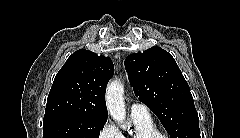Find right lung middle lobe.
Returning <instances> with one entry per match:
<instances>
[{"instance_id": "right-lung-middle-lobe-1", "label": "right lung middle lobe", "mask_w": 240, "mask_h": 138, "mask_svg": "<svg viewBox=\"0 0 240 138\" xmlns=\"http://www.w3.org/2000/svg\"><path fill=\"white\" fill-rule=\"evenodd\" d=\"M105 120L73 114L44 117L43 138H99Z\"/></svg>"}]
</instances>
